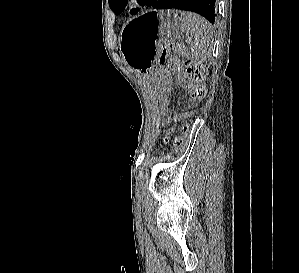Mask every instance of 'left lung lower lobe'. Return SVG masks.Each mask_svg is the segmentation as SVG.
<instances>
[{
  "mask_svg": "<svg viewBox=\"0 0 299 273\" xmlns=\"http://www.w3.org/2000/svg\"><path fill=\"white\" fill-rule=\"evenodd\" d=\"M216 0H153L151 6L155 9H179L196 12L204 16L210 23L215 22Z\"/></svg>",
  "mask_w": 299,
  "mask_h": 273,
  "instance_id": "obj_1",
  "label": "left lung lower lobe"
}]
</instances>
